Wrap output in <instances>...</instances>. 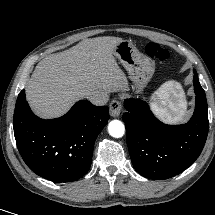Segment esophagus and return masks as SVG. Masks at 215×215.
<instances>
[{
  "instance_id": "obj_1",
  "label": "esophagus",
  "mask_w": 215,
  "mask_h": 215,
  "mask_svg": "<svg viewBox=\"0 0 215 215\" xmlns=\"http://www.w3.org/2000/svg\"><path fill=\"white\" fill-rule=\"evenodd\" d=\"M109 109L112 117H118L122 111L121 102L117 99L112 100L109 105Z\"/></svg>"
}]
</instances>
